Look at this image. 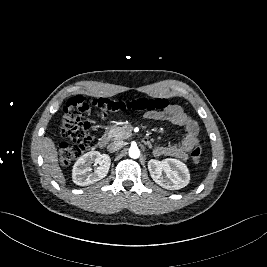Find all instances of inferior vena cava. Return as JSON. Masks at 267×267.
Segmentation results:
<instances>
[{"label":"inferior vena cava","instance_id":"1","mask_svg":"<svg viewBox=\"0 0 267 267\" xmlns=\"http://www.w3.org/2000/svg\"><path fill=\"white\" fill-rule=\"evenodd\" d=\"M124 143L122 141H113L110 142L107 146V150L109 152H115L118 151L119 149H121L123 147Z\"/></svg>","mask_w":267,"mask_h":267}]
</instances>
